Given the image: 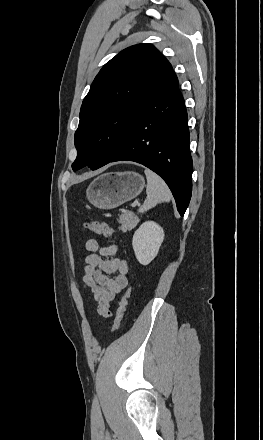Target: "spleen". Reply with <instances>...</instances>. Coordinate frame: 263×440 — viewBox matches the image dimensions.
Listing matches in <instances>:
<instances>
[{
	"label": "spleen",
	"mask_w": 263,
	"mask_h": 440,
	"mask_svg": "<svg viewBox=\"0 0 263 440\" xmlns=\"http://www.w3.org/2000/svg\"><path fill=\"white\" fill-rule=\"evenodd\" d=\"M147 178V197L139 208V213H144L159 203L169 202L172 198L171 191L165 181L150 169L144 171Z\"/></svg>",
	"instance_id": "3e777b00"
}]
</instances>
